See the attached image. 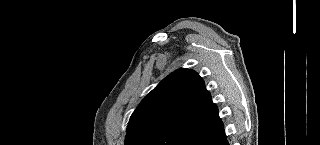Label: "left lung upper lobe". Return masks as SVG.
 I'll list each match as a JSON object with an SVG mask.
<instances>
[{
  "label": "left lung upper lobe",
  "instance_id": "obj_1",
  "mask_svg": "<svg viewBox=\"0 0 320 145\" xmlns=\"http://www.w3.org/2000/svg\"><path fill=\"white\" fill-rule=\"evenodd\" d=\"M215 107L202 78L181 68L163 79L133 112L125 145H178Z\"/></svg>",
  "mask_w": 320,
  "mask_h": 145
}]
</instances>
